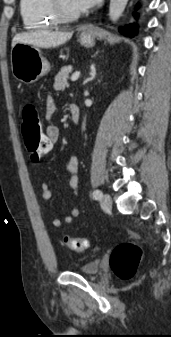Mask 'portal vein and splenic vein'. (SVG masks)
<instances>
[{
    "mask_svg": "<svg viewBox=\"0 0 171 337\" xmlns=\"http://www.w3.org/2000/svg\"><path fill=\"white\" fill-rule=\"evenodd\" d=\"M79 77H80V72L77 71V72H75V73L72 74L71 81L74 82V81L78 80Z\"/></svg>",
    "mask_w": 171,
    "mask_h": 337,
    "instance_id": "obj_1",
    "label": "portal vein and splenic vein"
}]
</instances>
